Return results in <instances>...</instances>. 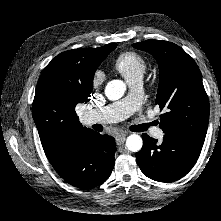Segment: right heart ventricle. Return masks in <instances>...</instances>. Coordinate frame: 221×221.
<instances>
[{
	"mask_svg": "<svg viewBox=\"0 0 221 221\" xmlns=\"http://www.w3.org/2000/svg\"><path fill=\"white\" fill-rule=\"evenodd\" d=\"M114 67L130 84L131 81L143 77L147 69V61L138 52L124 51L116 56Z\"/></svg>",
	"mask_w": 221,
	"mask_h": 221,
	"instance_id": "obj_1",
	"label": "right heart ventricle"
}]
</instances>
